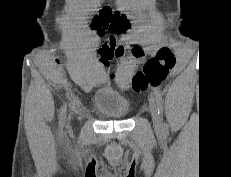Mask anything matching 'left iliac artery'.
<instances>
[{
    "mask_svg": "<svg viewBox=\"0 0 231 177\" xmlns=\"http://www.w3.org/2000/svg\"><path fill=\"white\" fill-rule=\"evenodd\" d=\"M154 97H155V100H156V104H157V107H158V113L159 114H163V99H162V96L159 92H154ZM163 129L165 131H167V125L164 123L163 124Z\"/></svg>",
    "mask_w": 231,
    "mask_h": 177,
    "instance_id": "44dca946",
    "label": "left iliac artery"
}]
</instances>
